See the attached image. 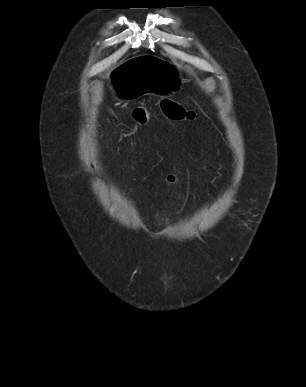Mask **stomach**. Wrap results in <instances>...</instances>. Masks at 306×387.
<instances>
[{
	"label": "stomach",
	"mask_w": 306,
	"mask_h": 387,
	"mask_svg": "<svg viewBox=\"0 0 306 387\" xmlns=\"http://www.w3.org/2000/svg\"><path fill=\"white\" fill-rule=\"evenodd\" d=\"M152 46H142V55H132V61L118 70H107V77L113 82L115 94L123 100L137 95H175L181 83L179 71L168 63V59H157L152 55Z\"/></svg>",
	"instance_id": "1"
}]
</instances>
